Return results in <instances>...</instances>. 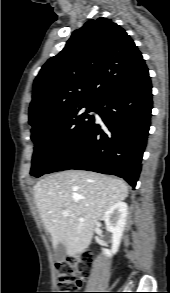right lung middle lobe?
I'll use <instances>...</instances> for the list:
<instances>
[{
	"label": "right lung middle lobe",
	"instance_id": "right-lung-middle-lobe-1",
	"mask_svg": "<svg viewBox=\"0 0 170 293\" xmlns=\"http://www.w3.org/2000/svg\"><path fill=\"white\" fill-rule=\"evenodd\" d=\"M87 111L82 113L81 108ZM95 105H81L70 109L48 122L32 128L31 139L35 143L30 174L40 177L90 125L94 117L89 115Z\"/></svg>",
	"mask_w": 170,
	"mask_h": 293
}]
</instances>
